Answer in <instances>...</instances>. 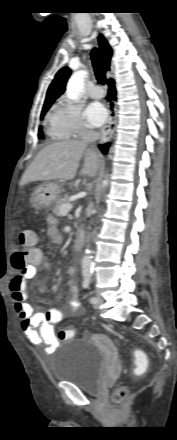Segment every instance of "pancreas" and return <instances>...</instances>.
Instances as JSON below:
<instances>
[{"label": "pancreas", "instance_id": "cf45deb5", "mask_svg": "<svg viewBox=\"0 0 177 440\" xmlns=\"http://www.w3.org/2000/svg\"><path fill=\"white\" fill-rule=\"evenodd\" d=\"M68 199H69V196L68 195H64L62 198H60V199H58L56 201V203H55V205H54V207L52 209L53 213L56 216H60L61 215L60 214V208L62 207V205L67 203Z\"/></svg>", "mask_w": 177, "mask_h": 440}]
</instances>
